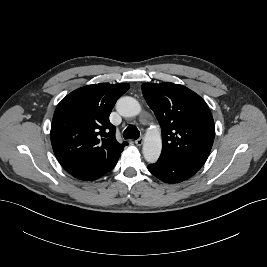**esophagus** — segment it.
Here are the masks:
<instances>
[{"label": "esophagus", "mask_w": 267, "mask_h": 267, "mask_svg": "<svg viewBox=\"0 0 267 267\" xmlns=\"http://www.w3.org/2000/svg\"><path fill=\"white\" fill-rule=\"evenodd\" d=\"M135 144H136L137 146H141V145L143 144V139H142V138L137 139V140L135 141Z\"/></svg>", "instance_id": "esophagus-1"}]
</instances>
